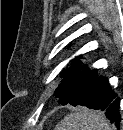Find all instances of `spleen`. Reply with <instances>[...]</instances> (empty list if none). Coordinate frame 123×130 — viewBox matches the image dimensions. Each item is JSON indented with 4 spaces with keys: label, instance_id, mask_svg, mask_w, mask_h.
Masks as SVG:
<instances>
[{
    "label": "spleen",
    "instance_id": "obj_1",
    "mask_svg": "<svg viewBox=\"0 0 123 130\" xmlns=\"http://www.w3.org/2000/svg\"><path fill=\"white\" fill-rule=\"evenodd\" d=\"M55 130H112L108 120L102 113L85 107H79L75 112L65 116L57 124Z\"/></svg>",
    "mask_w": 123,
    "mask_h": 130
}]
</instances>
